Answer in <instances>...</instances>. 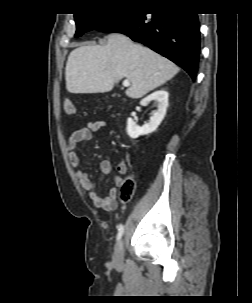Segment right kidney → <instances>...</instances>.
Segmentation results:
<instances>
[{
    "label": "right kidney",
    "instance_id": "ca27d5eb",
    "mask_svg": "<svg viewBox=\"0 0 252 303\" xmlns=\"http://www.w3.org/2000/svg\"><path fill=\"white\" fill-rule=\"evenodd\" d=\"M151 101L158 102V109L154 112L148 123H145L142 127H140L133 121L132 118L127 119V133L130 138L136 139L141 135H148L154 132L164 119L168 106V92L164 89L155 91L144 98L140 102V105L146 106Z\"/></svg>",
    "mask_w": 252,
    "mask_h": 303
}]
</instances>
